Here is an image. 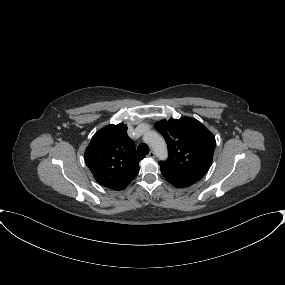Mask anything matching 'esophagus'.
<instances>
[{
  "instance_id": "1",
  "label": "esophagus",
  "mask_w": 285,
  "mask_h": 285,
  "mask_svg": "<svg viewBox=\"0 0 285 285\" xmlns=\"http://www.w3.org/2000/svg\"><path fill=\"white\" fill-rule=\"evenodd\" d=\"M148 156H149L150 158H155V153H154V151H150L149 154H148Z\"/></svg>"
}]
</instances>
